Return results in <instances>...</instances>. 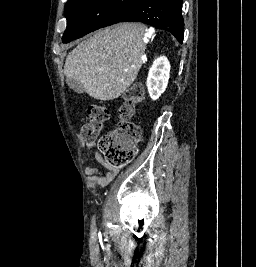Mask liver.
I'll return each instance as SVG.
<instances>
[{
    "label": "liver",
    "instance_id": "1",
    "mask_svg": "<svg viewBox=\"0 0 256 267\" xmlns=\"http://www.w3.org/2000/svg\"><path fill=\"white\" fill-rule=\"evenodd\" d=\"M144 24H115L69 52L64 74L83 84L95 100H115L131 84L143 64Z\"/></svg>",
    "mask_w": 256,
    "mask_h": 267
}]
</instances>
